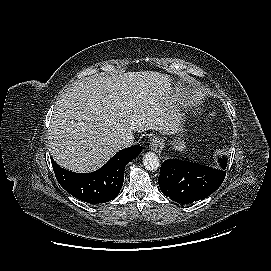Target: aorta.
<instances>
[{"mask_svg": "<svg viewBox=\"0 0 271 271\" xmlns=\"http://www.w3.org/2000/svg\"><path fill=\"white\" fill-rule=\"evenodd\" d=\"M143 165L149 171H155L159 168V158L153 152H147L143 156Z\"/></svg>", "mask_w": 271, "mask_h": 271, "instance_id": "1", "label": "aorta"}]
</instances>
